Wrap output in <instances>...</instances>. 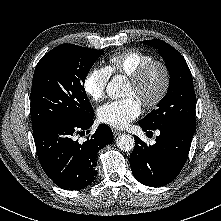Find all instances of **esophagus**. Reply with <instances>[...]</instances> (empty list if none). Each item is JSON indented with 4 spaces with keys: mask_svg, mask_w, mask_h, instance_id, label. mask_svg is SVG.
<instances>
[{
    "mask_svg": "<svg viewBox=\"0 0 221 221\" xmlns=\"http://www.w3.org/2000/svg\"><path fill=\"white\" fill-rule=\"evenodd\" d=\"M121 133H122V132H121L120 130H116V129L113 130L114 136H118V135H120Z\"/></svg>",
    "mask_w": 221,
    "mask_h": 221,
    "instance_id": "34e87169",
    "label": "esophagus"
}]
</instances>
